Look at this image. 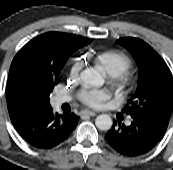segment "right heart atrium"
<instances>
[{
	"mask_svg": "<svg viewBox=\"0 0 173 170\" xmlns=\"http://www.w3.org/2000/svg\"><path fill=\"white\" fill-rule=\"evenodd\" d=\"M79 68H80L79 62L74 63V65L72 67V73H77Z\"/></svg>",
	"mask_w": 173,
	"mask_h": 170,
	"instance_id": "right-heart-atrium-1",
	"label": "right heart atrium"
}]
</instances>
